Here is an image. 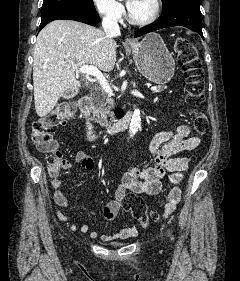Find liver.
<instances>
[{
    "instance_id": "obj_1",
    "label": "liver",
    "mask_w": 240,
    "mask_h": 281,
    "mask_svg": "<svg viewBox=\"0 0 240 281\" xmlns=\"http://www.w3.org/2000/svg\"><path fill=\"white\" fill-rule=\"evenodd\" d=\"M116 42L102 30L87 24L56 20L37 36L33 56L35 110L45 117L63 93L78 81V65H90L109 72L116 62Z\"/></svg>"
}]
</instances>
